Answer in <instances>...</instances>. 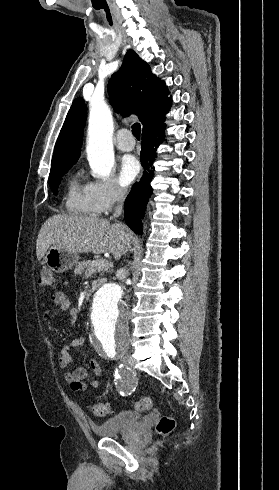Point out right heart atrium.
<instances>
[{
    "mask_svg": "<svg viewBox=\"0 0 279 490\" xmlns=\"http://www.w3.org/2000/svg\"><path fill=\"white\" fill-rule=\"evenodd\" d=\"M85 192L92 213L96 216L106 215L126 193V189L116 179L88 180Z\"/></svg>",
    "mask_w": 279,
    "mask_h": 490,
    "instance_id": "obj_1",
    "label": "right heart atrium"
}]
</instances>
